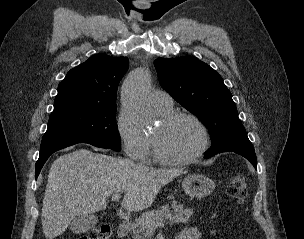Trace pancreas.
<instances>
[{"label":"pancreas","mask_w":304,"mask_h":239,"mask_svg":"<svg viewBox=\"0 0 304 239\" xmlns=\"http://www.w3.org/2000/svg\"><path fill=\"white\" fill-rule=\"evenodd\" d=\"M172 209L170 211L169 206L165 205L157 210L144 212L131 225L133 239H146L147 231L150 230L153 223H159L165 219H168L171 224L186 223L193 215V210L184 208L183 204L177 205L176 202H173Z\"/></svg>","instance_id":"pancreas-1"}]
</instances>
